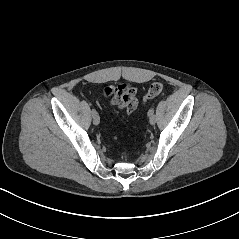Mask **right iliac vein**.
I'll use <instances>...</instances> for the list:
<instances>
[{"instance_id":"1","label":"right iliac vein","mask_w":239,"mask_h":239,"mask_svg":"<svg viewBox=\"0 0 239 239\" xmlns=\"http://www.w3.org/2000/svg\"><path fill=\"white\" fill-rule=\"evenodd\" d=\"M93 123L95 125H98L100 123V118H99L98 114L93 115Z\"/></svg>"}]
</instances>
